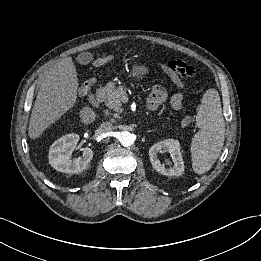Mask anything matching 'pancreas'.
Segmentation results:
<instances>
[{
    "mask_svg": "<svg viewBox=\"0 0 261 261\" xmlns=\"http://www.w3.org/2000/svg\"><path fill=\"white\" fill-rule=\"evenodd\" d=\"M126 91L127 88L124 86H119L118 88L110 87L107 91V99L105 102L106 106L115 112H121V99L124 95H126Z\"/></svg>",
    "mask_w": 261,
    "mask_h": 261,
    "instance_id": "pancreas-1",
    "label": "pancreas"
}]
</instances>
